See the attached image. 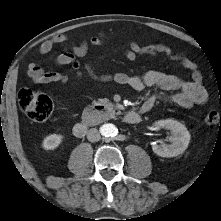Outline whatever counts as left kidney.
<instances>
[{"label":"left kidney","instance_id":"1","mask_svg":"<svg viewBox=\"0 0 221 221\" xmlns=\"http://www.w3.org/2000/svg\"><path fill=\"white\" fill-rule=\"evenodd\" d=\"M157 128H165L171 131V144L152 146V150L160 157H175L182 154L188 147L191 135L187 128L173 119L160 120L154 124Z\"/></svg>","mask_w":221,"mask_h":221}]
</instances>
